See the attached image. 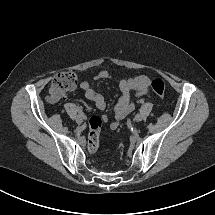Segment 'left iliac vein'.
Segmentation results:
<instances>
[{"label":"left iliac vein","instance_id":"obj_1","mask_svg":"<svg viewBox=\"0 0 215 215\" xmlns=\"http://www.w3.org/2000/svg\"><path fill=\"white\" fill-rule=\"evenodd\" d=\"M142 119H143V116H142L141 114H136V115L134 116V120H135L136 122H140V121H142Z\"/></svg>","mask_w":215,"mask_h":215}]
</instances>
